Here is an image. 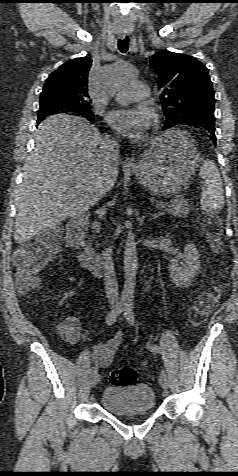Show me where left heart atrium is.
I'll use <instances>...</instances> for the list:
<instances>
[{
    "label": "left heart atrium",
    "mask_w": 238,
    "mask_h": 476,
    "mask_svg": "<svg viewBox=\"0 0 238 476\" xmlns=\"http://www.w3.org/2000/svg\"><path fill=\"white\" fill-rule=\"evenodd\" d=\"M153 120V112L145 105L114 110L107 115V122L114 129L131 138H141Z\"/></svg>",
    "instance_id": "1"
}]
</instances>
